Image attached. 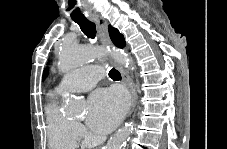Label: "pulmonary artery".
I'll use <instances>...</instances> for the list:
<instances>
[{
  "mask_svg": "<svg viewBox=\"0 0 227 149\" xmlns=\"http://www.w3.org/2000/svg\"><path fill=\"white\" fill-rule=\"evenodd\" d=\"M101 76L102 70L97 66L80 67L67 73L57 85L56 91L85 92L92 89Z\"/></svg>",
  "mask_w": 227,
  "mask_h": 149,
  "instance_id": "obj_1",
  "label": "pulmonary artery"
}]
</instances>
